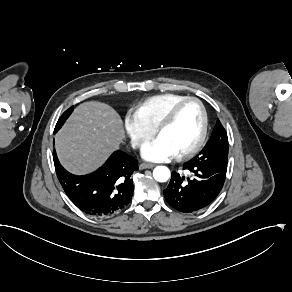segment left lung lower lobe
<instances>
[{"label":"left lung lower lobe","mask_w":292,"mask_h":292,"mask_svg":"<svg viewBox=\"0 0 292 292\" xmlns=\"http://www.w3.org/2000/svg\"><path fill=\"white\" fill-rule=\"evenodd\" d=\"M183 170L191 176L186 178L173 171L170 183L164 189L165 200L171 207L183 213L204 209L220 193L227 166L205 164L193 158L183 164Z\"/></svg>","instance_id":"1"}]
</instances>
